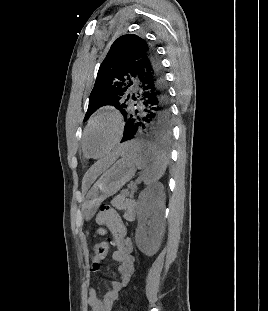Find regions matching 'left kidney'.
Here are the masks:
<instances>
[{
  "label": "left kidney",
  "mask_w": 268,
  "mask_h": 311,
  "mask_svg": "<svg viewBox=\"0 0 268 311\" xmlns=\"http://www.w3.org/2000/svg\"><path fill=\"white\" fill-rule=\"evenodd\" d=\"M163 190L161 183L154 184L140 194L137 203L138 227L135 241L139 250L147 256H153L158 251L164 235Z\"/></svg>",
  "instance_id": "1"
}]
</instances>
